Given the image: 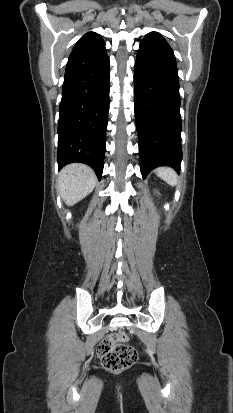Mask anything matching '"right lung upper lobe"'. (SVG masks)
Returning a JSON list of instances; mask_svg holds the SVG:
<instances>
[{
  "mask_svg": "<svg viewBox=\"0 0 233 413\" xmlns=\"http://www.w3.org/2000/svg\"><path fill=\"white\" fill-rule=\"evenodd\" d=\"M103 42V39L101 35L94 33V32H88L85 34L82 38L78 40L76 45L73 48V51L81 50L84 48H88L91 46H95L97 44H100ZM72 51V52H73Z\"/></svg>",
  "mask_w": 233,
  "mask_h": 413,
  "instance_id": "right-lung-upper-lobe-1",
  "label": "right lung upper lobe"
}]
</instances>
